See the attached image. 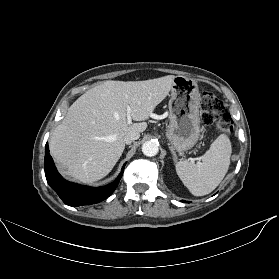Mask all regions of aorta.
Masks as SVG:
<instances>
[{
	"label": "aorta",
	"instance_id": "aorta-1",
	"mask_svg": "<svg viewBox=\"0 0 279 279\" xmlns=\"http://www.w3.org/2000/svg\"><path fill=\"white\" fill-rule=\"evenodd\" d=\"M142 152L145 156L152 157L159 152L158 144L155 141H146L142 145Z\"/></svg>",
	"mask_w": 279,
	"mask_h": 279
}]
</instances>
